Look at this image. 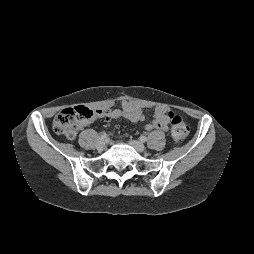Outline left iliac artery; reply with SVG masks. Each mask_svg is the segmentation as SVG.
Returning <instances> with one entry per match:
<instances>
[{
  "instance_id": "44dca946",
  "label": "left iliac artery",
  "mask_w": 254,
  "mask_h": 254,
  "mask_svg": "<svg viewBox=\"0 0 254 254\" xmlns=\"http://www.w3.org/2000/svg\"><path fill=\"white\" fill-rule=\"evenodd\" d=\"M140 140H141L142 142H145V141L147 140V138H146V136L142 135V136H140Z\"/></svg>"
}]
</instances>
